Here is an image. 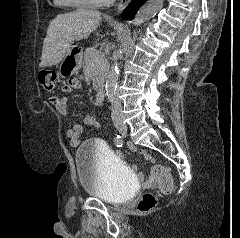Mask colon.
<instances>
[{"label":"colon","mask_w":240,"mask_h":238,"mask_svg":"<svg viewBox=\"0 0 240 238\" xmlns=\"http://www.w3.org/2000/svg\"><path fill=\"white\" fill-rule=\"evenodd\" d=\"M38 80L45 90L52 91L56 85V74L52 70L44 69L39 72ZM151 176L161 192L169 193L173 189L172 176L164 166H154L151 171ZM156 203L155 196L150 192H146L138 201L137 209L139 212L146 213L151 211L156 206Z\"/></svg>","instance_id":"obj_1"}]
</instances>
